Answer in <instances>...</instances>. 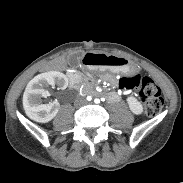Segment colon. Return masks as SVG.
I'll use <instances>...</instances> for the list:
<instances>
[{"label": "colon", "mask_w": 183, "mask_h": 183, "mask_svg": "<svg viewBox=\"0 0 183 183\" xmlns=\"http://www.w3.org/2000/svg\"><path fill=\"white\" fill-rule=\"evenodd\" d=\"M87 63L94 66H117L124 64V61L105 55H93ZM119 88L121 90L138 89L145 112L151 117L158 115L163 108L164 100L161 89L151 77L139 74L122 77L119 81Z\"/></svg>", "instance_id": "5ec220e1"}]
</instances>
